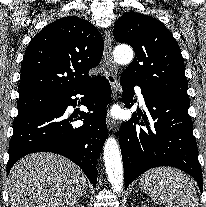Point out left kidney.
<instances>
[{
	"label": "left kidney",
	"instance_id": "left-kidney-1",
	"mask_svg": "<svg viewBox=\"0 0 206 207\" xmlns=\"http://www.w3.org/2000/svg\"><path fill=\"white\" fill-rule=\"evenodd\" d=\"M141 207H149V206L143 205V206H141Z\"/></svg>",
	"mask_w": 206,
	"mask_h": 207
}]
</instances>
